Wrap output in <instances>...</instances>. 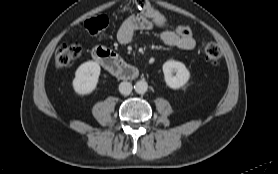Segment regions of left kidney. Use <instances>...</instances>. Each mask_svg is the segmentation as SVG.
Here are the masks:
<instances>
[{"instance_id": "left-kidney-1", "label": "left kidney", "mask_w": 278, "mask_h": 174, "mask_svg": "<svg viewBox=\"0 0 278 174\" xmlns=\"http://www.w3.org/2000/svg\"><path fill=\"white\" fill-rule=\"evenodd\" d=\"M163 73L165 82L171 89L182 88L190 78V72L186 66L182 62L174 60L167 61L163 64Z\"/></svg>"}]
</instances>
